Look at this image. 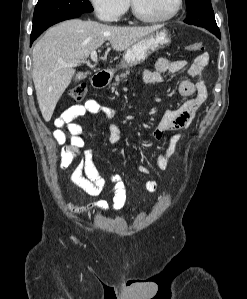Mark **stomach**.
Wrapping results in <instances>:
<instances>
[{
	"label": "stomach",
	"mask_w": 247,
	"mask_h": 299,
	"mask_svg": "<svg viewBox=\"0 0 247 299\" xmlns=\"http://www.w3.org/2000/svg\"><path fill=\"white\" fill-rule=\"evenodd\" d=\"M171 43L166 28H159L130 46L124 53L120 68L133 67L145 61L152 53Z\"/></svg>",
	"instance_id": "obj_1"
}]
</instances>
